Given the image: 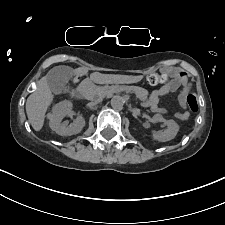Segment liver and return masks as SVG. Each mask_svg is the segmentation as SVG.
Instances as JSON below:
<instances>
[{"mask_svg":"<svg viewBox=\"0 0 225 225\" xmlns=\"http://www.w3.org/2000/svg\"><path fill=\"white\" fill-rule=\"evenodd\" d=\"M88 68L78 67L72 69V76L82 77L86 75ZM140 77L130 78L121 75L101 74L93 72L90 74V80L97 84H111V83H132L136 82ZM53 101L52 92L48 86L46 76L42 77L37 82L36 90L27 98L26 113L29 123L35 131H40L44 125L45 113Z\"/></svg>","mask_w":225,"mask_h":225,"instance_id":"obj_1","label":"liver"}]
</instances>
